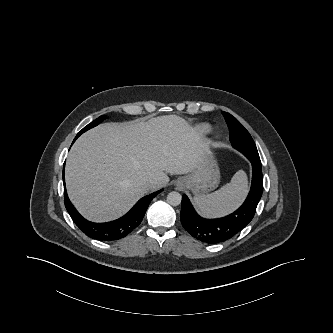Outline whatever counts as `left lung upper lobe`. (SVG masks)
<instances>
[{
	"label": "left lung upper lobe",
	"instance_id": "obj_1",
	"mask_svg": "<svg viewBox=\"0 0 333 333\" xmlns=\"http://www.w3.org/2000/svg\"><path fill=\"white\" fill-rule=\"evenodd\" d=\"M230 130V141L234 148L243 153L245 156H258L256 145L244 126L231 114L222 112Z\"/></svg>",
	"mask_w": 333,
	"mask_h": 333
}]
</instances>
